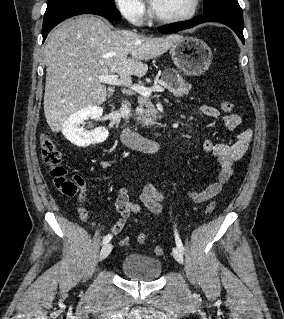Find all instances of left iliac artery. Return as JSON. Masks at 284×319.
I'll return each mask as SVG.
<instances>
[{
	"instance_id": "1",
	"label": "left iliac artery",
	"mask_w": 284,
	"mask_h": 319,
	"mask_svg": "<svg viewBox=\"0 0 284 319\" xmlns=\"http://www.w3.org/2000/svg\"><path fill=\"white\" fill-rule=\"evenodd\" d=\"M175 241H176L177 247H178L181 251H183V250H184V247H183L182 241H181V239H180V237H179V234H178L177 230H175Z\"/></svg>"
}]
</instances>
